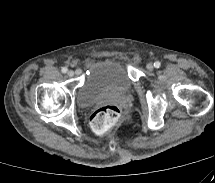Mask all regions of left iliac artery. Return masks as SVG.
<instances>
[{"label": "left iliac artery", "mask_w": 215, "mask_h": 183, "mask_svg": "<svg viewBox=\"0 0 215 183\" xmlns=\"http://www.w3.org/2000/svg\"><path fill=\"white\" fill-rule=\"evenodd\" d=\"M161 66V63L159 61L154 62V67L159 68Z\"/></svg>", "instance_id": "left-iliac-artery-1"}]
</instances>
